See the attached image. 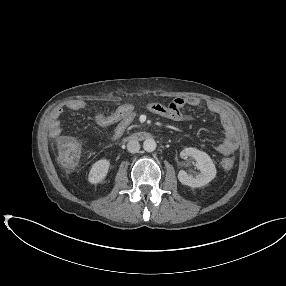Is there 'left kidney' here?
Segmentation results:
<instances>
[{"label": "left kidney", "mask_w": 286, "mask_h": 286, "mask_svg": "<svg viewBox=\"0 0 286 286\" xmlns=\"http://www.w3.org/2000/svg\"><path fill=\"white\" fill-rule=\"evenodd\" d=\"M180 157L183 159H187L188 157L193 158L196 161L197 169L200 170V174L196 177L187 174L184 170H180L178 179L183 185L192 188L201 187L208 184L216 177V167L207 153L190 147L182 150Z\"/></svg>", "instance_id": "1"}]
</instances>
